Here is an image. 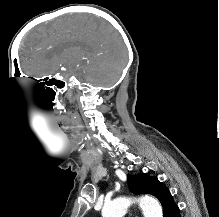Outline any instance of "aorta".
Returning a JSON list of instances; mask_svg holds the SVG:
<instances>
[{"label":"aorta","instance_id":"762f6f07","mask_svg":"<svg viewBox=\"0 0 219 217\" xmlns=\"http://www.w3.org/2000/svg\"><path fill=\"white\" fill-rule=\"evenodd\" d=\"M138 202L144 217H163L162 207L156 199L144 197ZM129 204L130 200L126 198H119L106 203L102 209V217H123Z\"/></svg>","mask_w":219,"mask_h":217}]
</instances>
